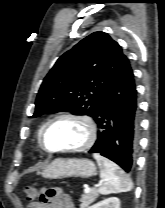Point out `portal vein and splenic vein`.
Instances as JSON below:
<instances>
[{
	"instance_id": "obj_1",
	"label": "portal vein and splenic vein",
	"mask_w": 165,
	"mask_h": 208,
	"mask_svg": "<svg viewBox=\"0 0 165 208\" xmlns=\"http://www.w3.org/2000/svg\"><path fill=\"white\" fill-rule=\"evenodd\" d=\"M97 186H98V185H97ZM90 190H91V188H90L89 186H86L85 189H84L85 193H89Z\"/></svg>"
}]
</instances>
